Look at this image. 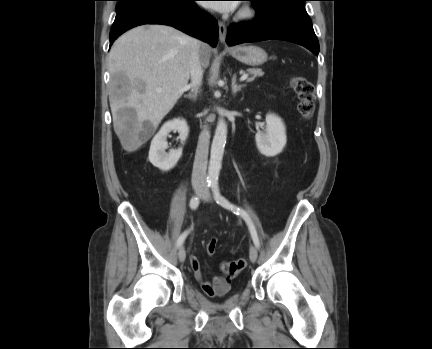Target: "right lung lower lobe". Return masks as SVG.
<instances>
[{
  "label": "right lung lower lobe",
  "mask_w": 432,
  "mask_h": 349,
  "mask_svg": "<svg viewBox=\"0 0 432 349\" xmlns=\"http://www.w3.org/2000/svg\"><path fill=\"white\" fill-rule=\"evenodd\" d=\"M196 0H119L110 32V46L127 30L143 24H163L208 42H218V24Z\"/></svg>",
  "instance_id": "1"
}]
</instances>
